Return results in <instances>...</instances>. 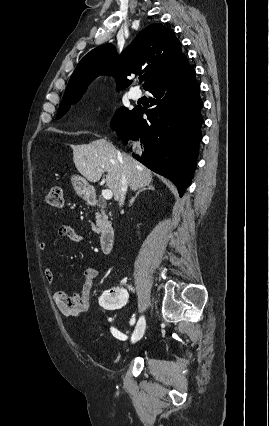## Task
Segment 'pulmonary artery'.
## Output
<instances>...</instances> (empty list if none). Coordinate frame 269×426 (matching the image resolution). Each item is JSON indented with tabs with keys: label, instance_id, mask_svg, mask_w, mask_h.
<instances>
[{
	"label": "pulmonary artery",
	"instance_id": "obj_1",
	"mask_svg": "<svg viewBox=\"0 0 269 426\" xmlns=\"http://www.w3.org/2000/svg\"><path fill=\"white\" fill-rule=\"evenodd\" d=\"M129 96L133 100H138L139 98H141L142 92H141V90L139 88H132L129 91Z\"/></svg>",
	"mask_w": 269,
	"mask_h": 426
}]
</instances>
